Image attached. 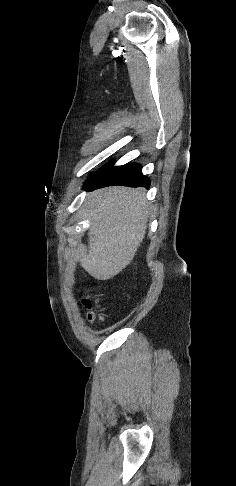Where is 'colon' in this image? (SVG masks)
Masks as SVG:
<instances>
[{
	"instance_id": "colon-1",
	"label": "colon",
	"mask_w": 236,
	"mask_h": 486,
	"mask_svg": "<svg viewBox=\"0 0 236 486\" xmlns=\"http://www.w3.org/2000/svg\"><path fill=\"white\" fill-rule=\"evenodd\" d=\"M97 301L89 296L82 298L83 306L88 310V318L93 320L95 318L94 309L96 307Z\"/></svg>"
}]
</instances>
